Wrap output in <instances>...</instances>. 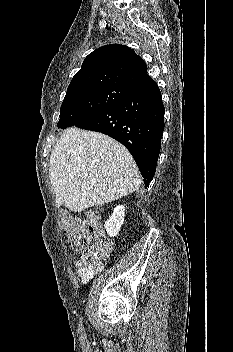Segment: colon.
<instances>
[{"label":"colon","instance_id":"5ec220e1","mask_svg":"<svg viewBox=\"0 0 233 352\" xmlns=\"http://www.w3.org/2000/svg\"><path fill=\"white\" fill-rule=\"evenodd\" d=\"M63 228L69 248L80 254L76 262L79 275L84 280L91 278L101 270V259L111 250V243L102 239L103 230L97 216L90 214L86 222L65 220ZM92 234L97 237L94 243H91Z\"/></svg>","mask_w":233,"mask_h":352}]
</instances>
